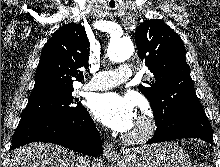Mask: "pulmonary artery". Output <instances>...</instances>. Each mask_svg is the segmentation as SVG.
Listing matches in <instances>:
<instances>
[{"mask_svg": "<svg viewBox=\"0 0 220 167\" xmlns=\"http://www.w3.org/2000/svg\"><path fill=\"white\" fill-rule=\"evenodd\" d=\"M132 77L130 65L122 64L114 70L99 71L92 75L91 80L84 85L88 90H105L116 87Z\"/></svg>", "mask_w": 220, "mask_h": 167, "instance_id": "pulmonary-artery-1", "label": "pulmonary artery"}]
</instances>
